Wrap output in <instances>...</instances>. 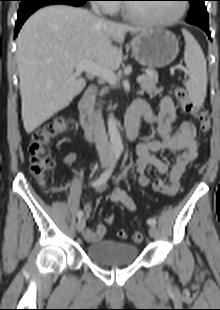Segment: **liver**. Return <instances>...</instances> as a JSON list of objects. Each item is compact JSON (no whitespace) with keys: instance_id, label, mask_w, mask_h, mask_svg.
Listing matches in <instances>:
<instances>
[{"instance_id":"1","label":"liver","mask_w":220,"mask_h":310,"mask_svg":"<svg viewBox=\"0 0 220 310\" xmlns=\"http://www.w3.org/2000/svg\"><path fill=\"white\" fill-rule=\"evenodd\" d=\"M143 31L65 5L34 13L19 33L16 52L26 132L30 134L67 107L85 88V79L74 72L78 62L116 70L122 51L112 41L123 43L127 32Z\"/></svg>"}]
</instances>
